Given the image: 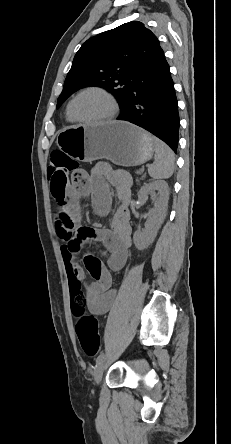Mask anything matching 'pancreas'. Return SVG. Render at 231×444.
I'll return each instance as SVG.
<instances>
[{"label":"pancreas","mask_w":231,"mask_h":444,"mask_svg":"<svg viewBox=\"0 0 231 444\" xmlns=\"http://www.w3.org/2000/svg\"><path fill=\"white\" fill-rule=\"evenodd\" d=\"M136 174L141 176L140 178H137V181L142 180V179H144L146 177V174H142L141 170L136 171Z\"/></svg>","instance_id":"1"}]
</instances>
